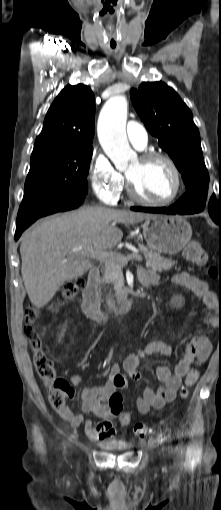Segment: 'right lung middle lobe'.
I'll return each instance as SVG.
<instances>
[{"mask_svg":"<svg viewBox=\"0 0 221 510\" xmlns=\"http://www.w3.org/2000/svg\"><path fill=\"white\" fill-rule=\"evenodd\" d=\"M92 146L31 157L19 209L31 214L85 197Z\"/></svg>","mask_w":221,"mask_h":510,"instance_id":"dd1d6c3e","label":"right lung middle lobe"}]
</instances>
